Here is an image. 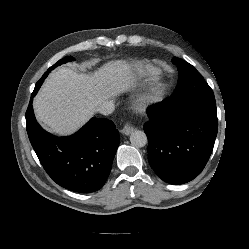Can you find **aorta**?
<instances>
[{"label": "aorta", "instance_id": "762f6f07", "mask_svg": "<svg viewBox=\"0 0 249 249\" xmlns=\"http://www.w3.org/2000/svg\"><path fill=\"white\" fill-rule=\"evenodd\" d=\"M130 142L137 148L144 147L147 144V136L143 131L135 130L130 135Z\"/></svg>", "mask_w": 249, "mask_h": 249}]
</instances>
